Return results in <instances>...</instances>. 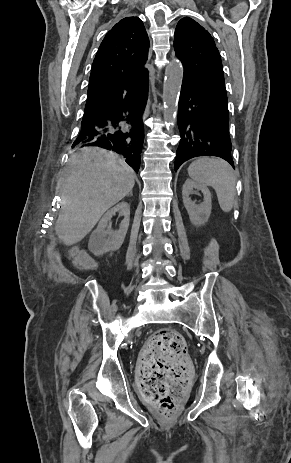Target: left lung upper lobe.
Listing matches in <instances>:
<instances>
[{"label":"left lung upper lobe","mask_w":291,"mask_h":463,"mask_svg":"<svg viewBox=\"0 0 291 463\" xmlns=\"http://www.w3.org/2000/svg\"><path fill=\"white\" fill-rule=\"evenodd\" d=\"M174 49L184 68L182 85L199 90L228 110L221 57L209 32L185 17L177 24Z\"/></svg>","instance_id":"obj_1"}]
</instances>
